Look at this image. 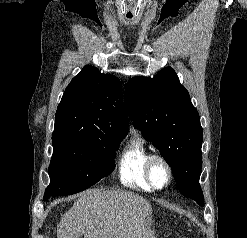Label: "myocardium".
<instances>
[{"mask_svg": "<svg viewBox=\"0 0 247 238\" xmlns=\"http://www.w3.org/2000/svg\"><path fill=\"white\" fill-rule=\"evenodd\" d=\"M155 163H161L166 168L167 173H168L167 180L162 185L156 184L154 179H153V176H152V168H153V165ZM144 175H145V178H146L148 184L153 189L161 190V189L168 187L171 184V182L173 180L174 173H173V168H172L170 162L164 156H162L160 154H151L145 163Z\"/></svg>", "mask_w": 247, "mask_h": 238, "instance_id": "myocardium-1", "label": "myocardium"}]
</instances>
